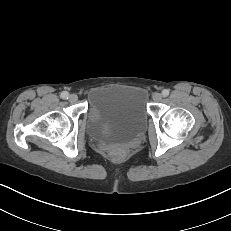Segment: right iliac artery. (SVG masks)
<instances>
[{"label": "right iliac artery", "mask_w": 231, "mask_h": 231, "mask_svg": "<svg viewBox=\"0 0 231 231\" xmlns=\"http://www.w3.org/2000/svg\"><path fill=\"white\" fill-rule=\"evenodd\" d=\"M60 97H61L62 99H68L69 93L66 92V91H63V92L61 93Z\"/></svg>", "instance_id": "right-iliac-artery-1"}]
</instances>
